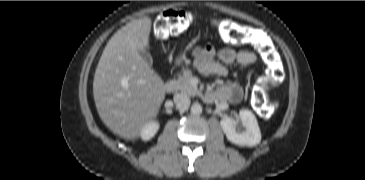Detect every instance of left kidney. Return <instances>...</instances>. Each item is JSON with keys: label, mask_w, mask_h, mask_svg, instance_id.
I'll return each mask as SVG.
<instances>
[{"label": "left kidney", "mask_w": 365, "mask_h": 180, "mask_svg": "<svg viewBox=\"0 0 365 180\" xmlns=\"http://www.w3.org/2000/svg\"><path fill=\"white\" fill-rule=\"evenodd\" d=\"M239 123H242L245 130L238 129ZM220 125L227 139L239 146H254L261 141V132L256 117L249 110L242 109L237 119L223 118Z\"/></svg>", "instance_id": "5707ae66"}]
</instances>
